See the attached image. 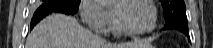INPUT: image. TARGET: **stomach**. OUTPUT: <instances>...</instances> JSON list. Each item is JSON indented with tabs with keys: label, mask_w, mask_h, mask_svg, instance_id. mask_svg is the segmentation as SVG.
Masks as SVG:
<instances>
[{
	"label": "stomach",
	"mask_w": 213,
	"mask_h": 48,
	"mask_svg": "<svg viewBox=\"0 0 213 48\" xmlns=\"http://www.w3.org/2000/svg\"><path fill=\"white\" fill-rule=\"evenodd\" d=\"M145 48H154L152 45H150L149 47H145Z\"/></svg>",
	"instance_id": "0dacf381"
}]
</instances>
